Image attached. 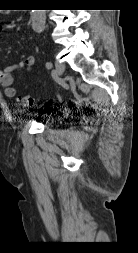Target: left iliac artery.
Wrapping results in <instances>:
<instances>
[{
  "label": "left iliac artery",
  "mask_w": 138,
  "mask_h": 253,
  "mask_svg": "<svg viewBox=\"0 0 138 253\" xmlns=\"http://www.w3.org/2000/svg\"><path fill=\"white\" fill-rule=\"evenodd\" d=\"M46 68L47 69H51L52 68V63L51 62H47L46 63Z\"/></svg>",
  "instance_id": "obj_1"
}]
</instances>
